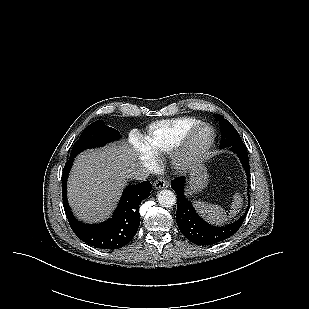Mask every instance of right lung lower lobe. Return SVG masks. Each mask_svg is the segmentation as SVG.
<instances>
[{"mask_svg": "<svg viewBox=\"0 0 309 309\" xmlns=\"http://www.w3.org/2000/svg\"><path fill=\"white\" fill-rule=\"evenodd\" d=\"M75 157L70 158L63 169L62 196L63 206L68 222L85 243L95 248L114 250L127 245L137 233L140 224L139 205L150 196L151 183L141 182L126 187L113 216L100 224H85L72 214L66 196V182Z\"/></svg>", "mask_w": 309, "mask_h": 309, "instance_id": "right-lung-lower-lobe-1", "label": "right lung lower lobe"}]
</instances>
